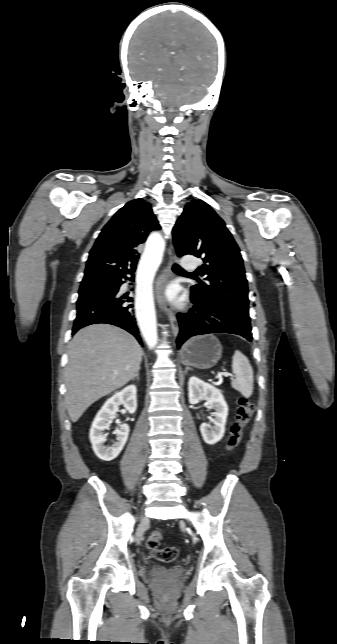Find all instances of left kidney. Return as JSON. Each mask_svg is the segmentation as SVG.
I'll list each match as a JSON object with an SVG mask.
<instances>
[{"mask_svg": "<svg viewBox=\"0 0 337 644\" xmlns=\"http://www.w3.org/2000/svg\"><path fill=\"white\" fill-rule=\"evenodd\" d=\"M188 397L191 404H197L201 400H206L209 408L215 412L210 419L211 426L207 423L200 425V432L203 440L210 445L220 441L225 433V425L228 416V405L219 389L215 386L202 381L197 377H191L188 381Z\"/></svg>", "mask_w": 337, "mask_h": 644, "instance_id": "1", "label": "left kidney"}]
</instances>
